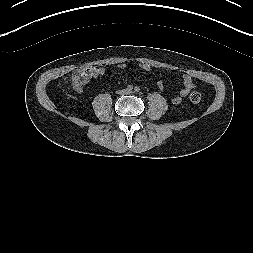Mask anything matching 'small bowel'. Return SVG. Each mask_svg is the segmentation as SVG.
<instances>
[{
	"label": "small bowel",
	"mask_w": 253,
	"mask_h": 253,
	"mask_svg": "<svg viewBox=\"0 0 253 253\" xmlns=\"http://www.w3.org/2000/svg\"><path fill=\"white\" fill-rule=\"evenodd\" d=\"M100 74H103V69H94L93 70V75L98 76ZM182 83H183V88L180 91V97L186 96L190 92V90L194 88V84H193V81L191 79V76L188 75V74H184L182 76ZM75 90L77 92H81L82 88L79 87V88H76ZM180 97H176L173 101L175 103L179 102Z\"/></svg>",
	"instance_id": "c3829d8e"
}]
</instances>
